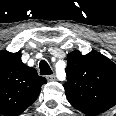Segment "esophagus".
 Returning a JSON list of instances; mask_svg holds the SVG:
<instances>
[{
	"mask_svg": "<svg viewBox=\"0 0 116 116\" xmlns=\"http://www.w3.org/2000/svg\"><path fill=\"white\" fill-rule=\"evenodd\" d=\"M47 79H48L49 81H54V80H56L55 74H52V75L47 76Z\"/></svg>",
	"mask_w": 116,
	"mask_h": 116,
	"instance_id": "esophagus-1",
	"label": "esophagus"
}]
</instances>
